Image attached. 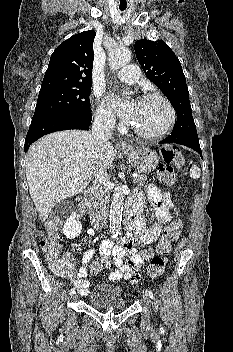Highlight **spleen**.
Masks as SVG:
<instances>
[{
	"instance_id": "spleen-1",
	"label": "spleen",
	"mask_w": 233,
	"mask_h": 352,
	"mask_svg": "<svg viewBox=\"0 0 233 352\" xmlns=\"http://www.w3.org/2000/svg\"><path fill=\"white\" fill-rule=\"evenodd\" d=\"M201 171L197 165H193L190 169V177L193 179L200 178Z\"/></svg>"
}]
</instances>
